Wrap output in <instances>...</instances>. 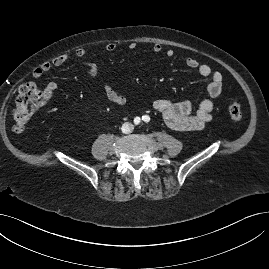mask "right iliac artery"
Wrapping results in <instances>:
<instances>
[{"label": "right iliac artery", "instance_id": "right-iliac-artery-1", "mask_svg": "<svg viewBox=\"0 0 269 269\" xmlns=\"http://www.w3.org/2000/svg\"><path fill=\"white\" fill-rule=\"evenodd\" d=\"M134 122H135V124H139V123H140V118H139V117H136V118L134 119Z\"/></svg>", "mask_w": 269, "mask_h": 269}]
</instances>
